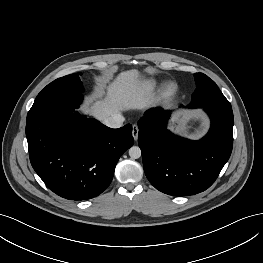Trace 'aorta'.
<instances>
[{
    "mask_svg": "<svg viewBox=\"0 0 263 263\" xmlns=\"http://www.w3.org/2000/svg\"><path fill=\"white\" fill-rule=\"evenodd\" d=\"M129 156L132 159H138L141 157V149L138 146H132L129 149Z\"/></svg>",
    "mask_w": 263,
    "mask_h": 263,
    "instance_id": "aorta-1",
    "label": "aorta"
}]
</instances>
